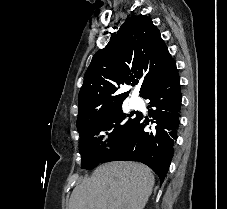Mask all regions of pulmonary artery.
Segmentation results:
<instances>
[{"instance_id": "1", "label": "pulmonary artery", "mask_w": 227, "mask_h": 209, "mask_svg": "<svg viewBox=\"0 0 227 209\" xmlns=\"http://www.w3.org/2000/svg\"><path fill=\"white\" fill-rule=\"evenodd\" d=\"M129 95L131 96L129 101L134 107H138L143 102V97H139L137 91H130Z\"/></svg>"}]
</instances>
